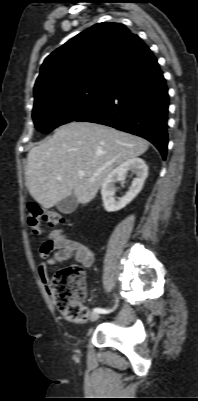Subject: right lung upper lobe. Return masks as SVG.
<instances>
[{
    "label": "right lung upper lobe",
    "mask_w": 198,
    "mask_h": 401,
    "mask_svg": "<svg viewBox=\"0 0 198 401\" xmlns=\"http://www.w3.org/2000/svg\"><path fill=\"white\" fill-rule=\"evenodd\" d=\"M150 49L119 23H98L52 52L34 87L39 97L85 83H110L141 61Z\"/></svg>",
    "instance_id": "right-lung-upper-lobe-1"
}]
</instances>
